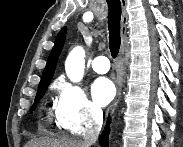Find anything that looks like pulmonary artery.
<instances>
[{
    "mask_svg": "<svg viewBox=\"0 0 183 147\" xmlns=\"http://www.w3.org/2000/svg\"><path fill=\"white\" fill-rule=\"evenodd\" d=\"M92 68L96 73L105 74L110 69V62L105 56H98L92 62Z\"/></svg>",
    "mask_w": 183,
    "mask_h": 147,
    "instance_id": "e3ab8cb5",
    "label": "pulmonary artery"
}]
</instances>
